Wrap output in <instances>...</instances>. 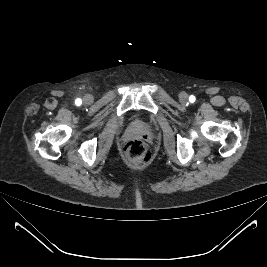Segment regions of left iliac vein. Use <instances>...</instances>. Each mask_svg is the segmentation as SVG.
<instances>
[{"label": "left iliac vein", "mask_w": 267, "mask_h": 267, "mask_svg": "<svg viewBox=\"0 0 267 267\" xmlns=\"http://www.w3.org/2000/svg\"><path fill=\"white\" fill-rule=\"evenodd\" d=\"M179 100L182 104H186L188 102V95L185 92L180 93Z\"/></svg>", "instance_id": "1"}]
</instances>
